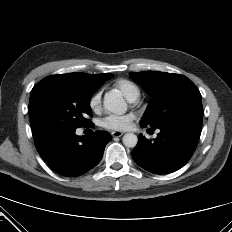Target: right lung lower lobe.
Instances as JSON below:
<instances>
[{"mask_svg":"<svg viewBox=\"0 0 232 232\" xmlns=\"http://www.w3.org/2000/svg\"><path fill=\"white\" fill-rule=\"evenodd\" d=\"M35 146L43 160L63 176L75 177L95 167L102 158L111 135L96 131L77 136L75 129L53 128L33 133Z\"/></svg>","mask_w":232,"mask_h":232,"instance_id":"1","label":"right lung lower lobe"}]
</instances>
